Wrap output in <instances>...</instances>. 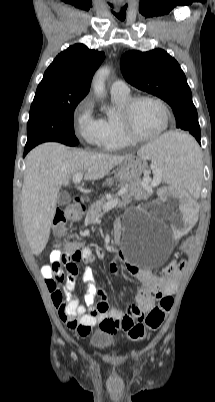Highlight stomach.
Listing matches in <instances>:
<instances>
[{
	"instance_id": "1",
	"label": "stomach",
	"mask_w": 215,
	"mask_h": 402,
	"mask_svg": "<svg viewBox=\"0 0 215 402\" xmlns=\"http://www.w3.org/2000/svg\"><path fill=\"white\" fill-rule=\"evenodd\" d=\"M145 169L146 164L142 158L129 156L117 166L114 175L118 182L126 185L138 181ZM108 184H111V179L108 180Z\"/></svg>"
}]
</instances>
